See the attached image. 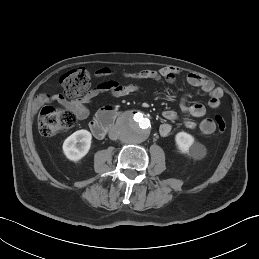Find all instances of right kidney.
I'll use <instances>...</instances> for the list:
<instances>
[{"mask_svg":"<svg viewBox=\"0 0 259 259\" xmlns=\"http://www.w3.org/2000/svg\"><path fill=\"white\" fill-rule=\"evenodd\" d=\"M92 135L87 130H78L70 135L63 143L65 156L74 162L82 159L89 151Z\"/></svg>","mask_w":259,"mask_h":259,"instance_id":"right-kidney-1","label":"right kidney"}]
</instances>
